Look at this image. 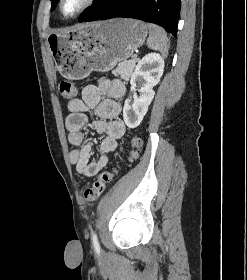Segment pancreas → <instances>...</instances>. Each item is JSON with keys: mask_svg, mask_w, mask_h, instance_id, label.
Masks as SVG:
<instances>
[{"mask_svg": "<svg viewBox=\"0 0 247 280\" xmlns=\"http://www.w3.org/2000/svg\"><path fill=\"white\" fill-rule=\"evenodd\" d=\"M137 59L124 61L118 64L116 69L112 71L115 76H120L123 80L128 81L132 76L133 70L137 63Z\"/></svg>", "mask_w": 247, "mask_h": 280, "instance_id": "1", "label": "pancreas"}]
</instances>
